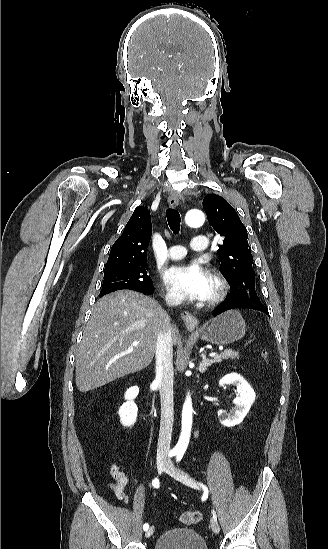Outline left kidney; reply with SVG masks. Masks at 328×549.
Here are the masks:
<instances>
[{"label":"left kidney","mask_w":328,"mask_h":549,"mask_svg":"<svg viewBox=\"0 0 328 549\" xmlns=\"http://www.w3.org/2000/svg\"><path fill=\"white\" fill-rule=\"evenodd\" d=\"M220 387L223 385H235L237 387L236 391L239 393L238 397L233 399V403L236 407L233 413H227V411H218V419L221 425L225 427H235L242 423L244 417L249 413L252 403L255 401L256 393L248 385L247 381L237 375V373H230V375H225L219 381Z\"/></svg>","instance_id":"left-kidney-1"}]
</instances>
